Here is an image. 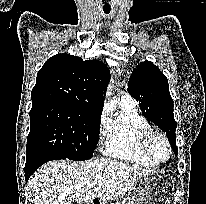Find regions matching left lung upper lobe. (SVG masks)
Segmentation results:
<instances>
[{"label":"left lung upper lobe","instance_id":"left-lung-upper-lobe-1","mask_svg":"<svg viewBox=\"0 0 206 204\" xmlns=\"http://www.w3.org/2000/svg\"><path fill=\"white\" fill-rule=\"evenodd\" d=\"M128 92L139 102L142 114L160 127L168 137L175 155L177 122L166 76L150 61L139 63L128 81Z\"/></svg>","mask_w":206,"mask_h":204}]
</instances>
